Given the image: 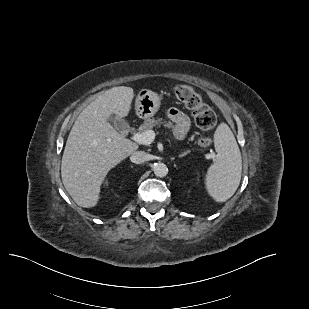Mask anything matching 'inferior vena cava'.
<instances>
[{
  "label": "inferior vena cava",
  "mask_w": 309,
  "mask_h": 309,
  "mask_svg": "<svg viewBox=\"0 0 309 309\" xmlns=\"http://www.w3.org/2000/svg\"><path fill=\"white\" fill-rule=\"evenodd\" d=\"M130 160L133 163L141 164L149 160V154L145 151H134L130 156Z\"/></svg>",
  "instance_id": "obj_1"
}]
</instances>
